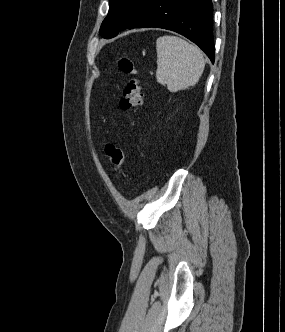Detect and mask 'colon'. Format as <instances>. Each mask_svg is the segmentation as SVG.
I'll return each instance as SVG.
<instances>
[{"label": "colon", "instance_id": "5ec220e1", "mask_svg": "<svg viewBox=\"0 0 285 332\" xmlns=\"http://www.w3.org/2000/svg\"><path fill=\"white\" fill-rule=\"evenodd\" d=\"M118 67L123 73L130 75V79L123 90L119 102L120 108L124 112L130 113L135 111L142 104L143 80L134 60L130 57H120ZM105 156L112 171L120 170L124 163V154L121 149L113 144H108L105 147Z\"/></svg>", "mask_w": 285, "mask_h": 332}]
</instances>
